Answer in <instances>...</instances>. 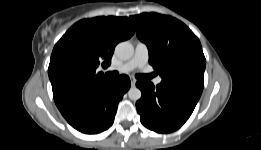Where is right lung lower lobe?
<instances>
[{
    "instance_id": "98d812e1",
    "label": "right lung lower lobe",
    "mask_w": 261,
    "mask_h": 150,
    "mask_svg": "<svg viewBox=\"0 0 261 150\" xmlns=\"http://www.w3.org/2000/svg\"><path fill=\"white\" fill-rule=\"evenodd\" d=\"M130 79L121 75L105 86L68 103L59 109L68 123L80 132L95 134L114 122L119 101L130 88Z\"/></svg>"
}]
</instances>
